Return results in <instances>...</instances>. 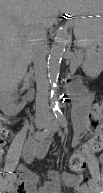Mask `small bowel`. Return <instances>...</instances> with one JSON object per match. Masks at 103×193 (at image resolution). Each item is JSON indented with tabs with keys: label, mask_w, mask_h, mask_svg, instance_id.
Wrapping results in <instances>:
<instances>
[{
	"label": "small bowel",
	"mask_w": 103,
	"mask_h": 193,
	"mask_svg": "<svg viewBox=\"0 0 103 193\" xmlns=\"http://www.w3.org/2000/svg\"><path fill=\"white\" fill-rule=\"evenodd\" d=\"M94 95L90 92H81L76 98L77 113L79 117V124L76 127L73 144L77 145L81 142L84 133L89 126V116L93 112ZM4 123L8 124L10 121L4 119ZM11 136L9 131L8 136ZM4 142V141H3ZM50 142L48 139L36 141L34 138L28 139L24 146L22 156L26 163H32L36 158L42 157L49 149ZM4 154V150H0V155ZM19 176L10 175L9 183L7 185L8 192L13 190V183H16L17 193H62L67 189L71 193H87L89 185L83 183V175H74L67 172L47 170L43 173L45 180L41 181L40 177L27 167L23 165L18 166ZM97 169H93V175L97 174ZM13 176V177H12ZM9 187L11 189H9ZM14 189V190H15Z\"/></svg>",
	"instance_id": "1"
}]
</instances>
